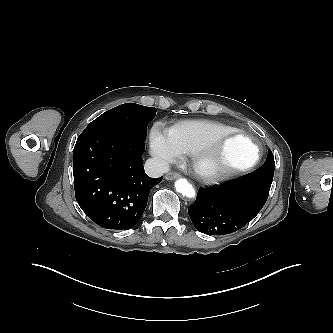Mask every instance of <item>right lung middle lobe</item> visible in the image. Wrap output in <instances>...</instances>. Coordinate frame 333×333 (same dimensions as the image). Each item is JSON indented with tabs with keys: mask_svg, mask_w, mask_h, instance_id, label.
<instances>
[{
	"mask_svg": "<svg viewBox=\"0 0 333 333\" xmlns=\"http://www.w3.org/2000/svg\"><path fill=\"white\" fill-rule=\"evenodd\" d=\"M157 110L134 103L119 105L92 121L83 132L111 131L132 134L145 138L147 125L155 117Z\"/></svg>",
	"mask_w": 333,
	"mask_h": 333,
	"instance_id": "dd1d6c3e",
	"label": "right lung middle lobe"
}]
</instances>
